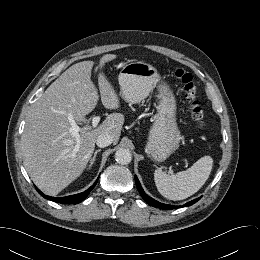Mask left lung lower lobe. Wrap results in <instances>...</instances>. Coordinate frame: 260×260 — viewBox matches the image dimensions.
Here are the masks:
<instances>
[{"label":"left lung lower lobe","mask_w":260,"mask_h":260,"mask_svg":"<svg viewBox=\"0 0 260 260\" xmlns=\"http://www.w3.org/2000/svg\"><path fill=\"white\" fill-rule=\"evenodd\" d=\"M135 181H136V185H137V188H138V191L139 193L141 194L142 198L151 206L153 207H158L160 209H173V208H179L180 206H173V205H167V204H162V203H159L157 202L156 200L152 199L151 197H149L148 195H146V193L143 191L141 185H140V182L138 180V178L135 176ZM201 198V197H200ZM200 198L198 199H195V200H192L188 203H186L184 206H190L192 204H194L195 202H197Z\"/></svg>","instance_id":"0a47b994"}]
</instances>
